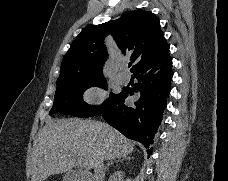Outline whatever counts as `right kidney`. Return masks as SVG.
Returning a JSON list of instances; mask_svg holds the SVG:
<instances>
[{
  "label": "right kidney",
  "mask_w": 228,
  "mask_h": 181,
  "mask_svg": "<svg viewBox=\"0 0 228 181\" xmlns=\"http://www.w3.org/2000/svg\"><path fill=\"white\" fill-rule=\"evenodd\" d=\"M124 177V171H117V173H114L111 177V181H122Z\"/></svg>",
  "instance_id": "right-kidney-1"
}]
</instances>
